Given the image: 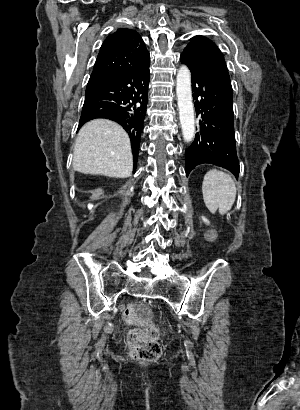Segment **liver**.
I'll return each mask as SVG.
<instances>
[{
    "label": "liver",
    "instance_id": "1",
    "mask_svg": "<svg viewBox=\"0 0 300 410\" xmlns=\"http://www.w3.org/2000/svg\"><path fill=\"white\" fill-rule=\"evenodd\" d=\"M73 168L83 174L131 176L133 158L128 134L110 120L95 119L86 123L75 141Z\"/></svg>",
    "mask_w": 300,
    "mask_h": 410
}]
</instances>
